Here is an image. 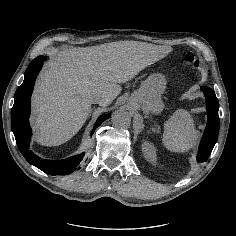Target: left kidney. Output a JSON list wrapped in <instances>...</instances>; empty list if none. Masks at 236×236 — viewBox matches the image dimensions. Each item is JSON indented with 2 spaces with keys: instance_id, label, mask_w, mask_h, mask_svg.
Instances as JSON below:
<instances>
[{
  "instance_id": "left-kidney-1",
  "label": "left kidney",
  "mask_w": 236,
  "mask_h": 236,
  "mask_svg": "<svg viewBox=\"0 0 236 236\" xmlns=\"http://www.w3.org/2000/svg\"><path fill=\"white\" fill-rule=\"evenodd\" d=\"M144 156L151 162H156L155 150L151 144H143Z\"/></svg>"
}]
</instances>
